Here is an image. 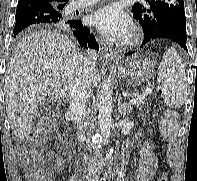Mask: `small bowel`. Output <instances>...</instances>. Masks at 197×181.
Wrapping results in <instances>:
<instances>
[{"mask_svg": "<svg viewBox=\"0 0 197 181\" xmlns=\"http://www.w3.org/2000/svg\"><path fill=\"white\" fill-rule=\"evenodd\" d=\"M157 167V159L151 143L146 142L140 151V161L135 175V181H148L152 178Z\"/></svg>", "mask_w": 197, "mask_h": 181, "instance_id": "small-bowel-1", "label": "small bowel"}]
</instances>
